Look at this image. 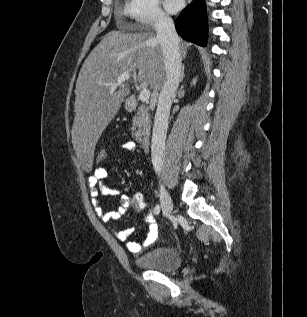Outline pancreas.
Returning a JSON list of instances; mask_svg holds the SVG:
<instances>
[{"label": "pancreas", "mask_w": 307, "mask_h": 317, "mask_svg": "<svg viewBox=\"0 0 307 317\" xmlns=\"http://www.w3.org/2000/svg\"><path fill=\"white\" fill-rule=\"evenodd\" d=\"M151 126V118L149 109L144 105L138 107L136 115L133 117L131 134L136 142L141 143L143 136L147 133Z\"/></svg>", "instance_id": "cf45deb5"}]
</instances>
